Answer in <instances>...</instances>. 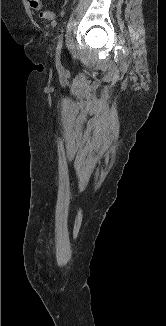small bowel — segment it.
I'll use <instances>...</instances> for the list:
<instances>
[{
    "instance_id": "obj_1",
    "label": "small bowel",
    "mask_w": 166,
    "mask_h": 326,
    "mask_svg": "<svg viewBox=\"0 0 166 326\" xmlns=\"http://www.w3.org/2000/svg\"><path fill=\"white\" fill-rule=\"evenodd\" d=\"M31 8L38 11L42 8V2L41 0H29Z\"/></svg>"
}]
</instances>
